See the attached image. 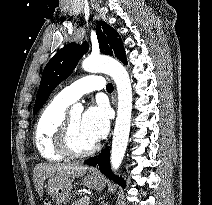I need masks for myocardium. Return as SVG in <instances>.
Returning <instances> with one entry per match:
<instances>
[{
	"label": "myocardium",
	"mask_w": 212,
	"mask_h": 205,
	"mask_svg": "<svg viewBox=\"0 0 212 205\" xmlns=\"http://www.w3.org/2000/svg\"><path fill=\"white\" fill-rule=\"evenodd\" d=\"M70 115H65L56 134V147L58 151L69 158H83L93 154L97 149V144H92L85 150H76L73 148L70 140Z\"/></svg>",
	"instance_id": "1"
}]
</instances>
